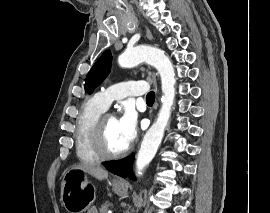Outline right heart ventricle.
<instances>
[{"label": "right heart ventricle", "mask_w": 270, "mask_h": 213, "mask_svg": "<svg viewBox=\"0 0 270 213\" xmlns=\"http://www.w3.org/2000/svg\"><path fill=\"white\" fill-rule=\"evenodd\" d=\"M105 111L95 97L89 99L83 105L75 128V149L77 157L86 163H98L101 158L94 151L91 143V132L97 118Z\"/></svg>", "instance_id": "right-heart-ventricle-1"}]
</instances>
